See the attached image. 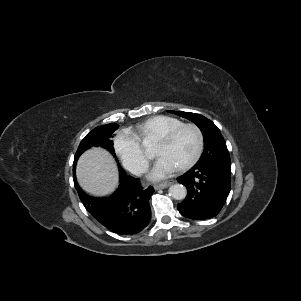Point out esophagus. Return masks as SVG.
Instances as JSON below:
<instances>
[{
  "label": "esophagus",
  "mask_w": 301,
  "mask_h": 301,
  "mask_svg": "<svg viewBox=\"0 0 301 301\" xmlns=\"http://www.w3.org/2000/svg\"><path fill=\"white\" fill-rule=\"evenodd\" d=\"M175 181L173 179H170L166 182H163V183H160V184H157V185H154V188L157 190V189H164V188H167L168 186L172 185Z\"/></svg>",
  "instance_id": "obj_1"
}]
</instances>
